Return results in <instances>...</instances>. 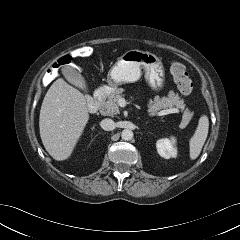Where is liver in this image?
I'll return each mask as SVG.
<instances>
[{
    "label": "liver",
    "instance_id": "6515ba94",
    "mask_svg": "<svg viewBox=\"0 0 240 240\" xmlns=\"http://www.w3.org/2000/svg\"><path fill=\"white\" fill-rule=\"evenodd\" d=\"M88 120L84 95L57 79L44 97L39 116L40 137L50 156L57 161L69 158Z\"/></svg>",
    "mask_w": 240,
    "mask_h": 240
}]
</instances>
